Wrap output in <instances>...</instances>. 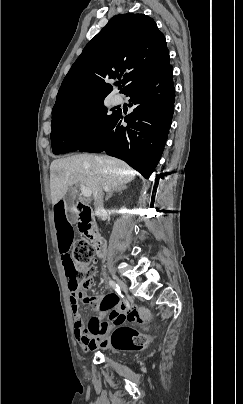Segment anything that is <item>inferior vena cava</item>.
<instances>
[{"instance_id": "1", "label": "inferior vena cava", "mask_w": 243, "mask_h": 404, "mask_svg": "<svg viewBox=\"0 0 243 404\" xmlns=\"http://www.w3.org/2000/svg\"><path fill=\"white\" fill-rule=\"evenodd\" d=\"M104 212V208H103V198L102 196H100L98 202H97V208H96V216H102Z\"/></svg>"}]
</instances>
